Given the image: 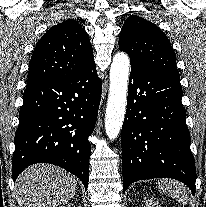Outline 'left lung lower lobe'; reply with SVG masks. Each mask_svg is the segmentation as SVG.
Here are the masks:
<instances>
[{
    "instance_id": "left-lung-lower-lobe-1",
    "label": "left lung lower lobe",
    "mask_w": 206,
    "mask_h": 207,
    "mask_svg": "<svg viewBox=\"0 0 206 207\" xmlns=\"http://www.w3.org/2000/svg\"><path fill=\"white\" fill-rule=\"evenodd\" d=\"M180 80L131 65L127 111L121 131L123 189L139 180L168 177L195 194Z\"/></svg>"
}]
</instances>
